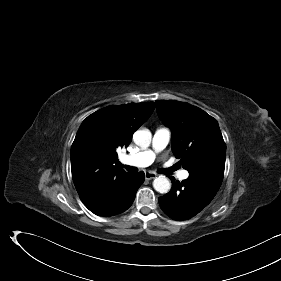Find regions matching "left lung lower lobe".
Wrapping results in <instances>:
<instances>
[{
	"instance_id": "1",
	"label": "left lung lower lobe",
	"mask_w": 281,
	"mask_h": 281,
	"mask_svg": "<svg viewBox=\"0 0 281 281\" xmlns=\"http://www.w3.org/2000/svg\"><path fill=\"white\" fill-rule=\"evenodd\" d=\"M172 189L159 197V205L165 214L175 220H187L206 207L218 192L221 184L199 175H189L182 182L173 177Z\"/></svg>"
}]
</instances>
